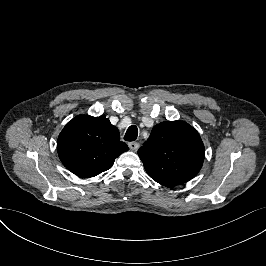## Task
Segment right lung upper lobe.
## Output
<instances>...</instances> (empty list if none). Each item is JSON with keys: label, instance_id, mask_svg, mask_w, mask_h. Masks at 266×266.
I'll use <instances>...</instances> for the list:
<instances>
[{"label": "right lung upper lobe", "instance_id": "right-lung-upper-lobe-1", "mask_svg": "<svg viewBox=\"0 0 266 266\" xmlns=\"http://www.w3.org/2000/svg\"><path fill=\"white\" fill-rule=\"evenodd\" d=\"M128 150L118 129L105 116L80 115L64 127L57 151L63 165L82 178L108 170L115 158Z\"/></svg>", "mask_w": 266, "mask_h": 266}]
</instances>
